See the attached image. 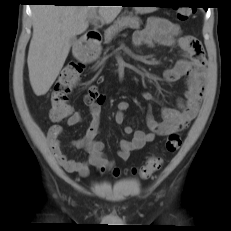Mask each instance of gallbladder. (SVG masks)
<instances>
[{"instance_id":"gallbladder-1","label":"gallbladder","mask_w":231,"mask_h":231,"mask_svg":"<svg viewBox=\"0 0 231 231\" xmlns=\"http://www.w3.org/2000/svg\"><path fill=\"white\" fill-rule=\"evenodd\" d=\"M74 41H75V38H72V39H71V43H73Z\"/></svg>"}]
</instances>
